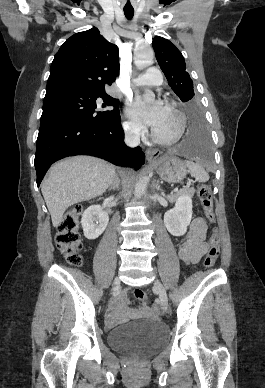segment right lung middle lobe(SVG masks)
<instances>
[{
    "instance_id": "right-lung-middle-lobe-1",
    "label": "right lung middle lobe",
    "mask_w": 265,
    "mask_h": 388,
    "mask_svg": "<svg viewBox=\"0 0 265 388\" xmlns=\"http://www.w3.org/2000/svg\"><path fill=\"white\" fill-rule=\"evenodd\" d=\"M101 98L100 103L97 98ZM119 100L105 90L98 92H61L45 96L40 125L60 120H91L105 124L120 117ZM112 106L113 109H105Z\"/></svg>"
}]
</instances>
